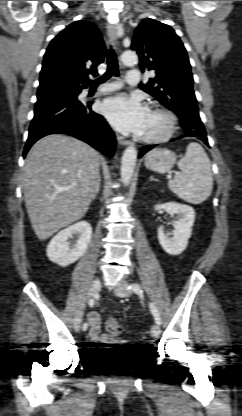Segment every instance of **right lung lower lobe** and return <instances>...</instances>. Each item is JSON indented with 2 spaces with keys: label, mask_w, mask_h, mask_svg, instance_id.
I'll return each mask as SVG.
<instances>
[{
  "label": "right lung lower lobe",
  "mask_w": 242,
  "mask_h": 416,
  "mask_svg": "<svg viewBox=\"0 0 242 416\" xmlns=\"http://www.w3.org/2000/svg\"><path fill=\"white\" fill-rule=\"evenodd\" d=\"M76 95L56 94L39 97L23 157L40 138L56 133L74 136L111 157L115 149V135L105 119L90 109L91 103L78 101Z\"/></svg>",
  "instance_id": "98d812e1"
}]
</instances>
